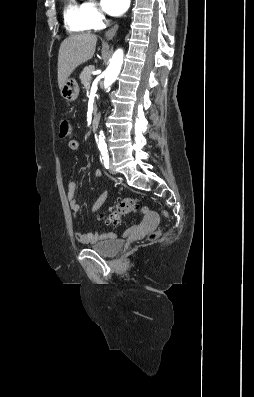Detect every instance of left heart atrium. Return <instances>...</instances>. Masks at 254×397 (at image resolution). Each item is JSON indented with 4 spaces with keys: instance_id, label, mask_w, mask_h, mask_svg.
Returning a JSON list of instances; mask_svg holds the SVG:
<instances>
[{
    "instance_id": "left-heart-atrium-1",
    "label": "left heart atrium",
    "mask_w": 254,
    "mask_h": 397,
    "mask_svg": "<svg viewBox=\"0 0 254 397\" xmlns=\"http://www.w3.org/2000/svg\"><path fill=\"white\" fill-rule=\"evenodd\" d=\"M103 10L111 16H119L129 6V0H101Z\"/></svg>"
}]
</instances>
